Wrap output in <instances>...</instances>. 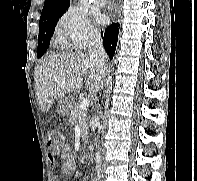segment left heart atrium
<instances>
[{
	"instance_id": "left-heart-atrium-1",
	"label": "left heart atrium",
	"mask_w": 197,
	"mask_h": 181,
	"mask_svg": "<svg viewBox=\"0 0 197 181\" xmlns=\"http://www.w3.org/2000/svg\"><path fill=\"white\" fill-rule=\"evenodd\" d=\"M96 20L98 23H104L105 22V16L101 15V14H97L96 15Z\"/></svg>"
}]
</instances>
